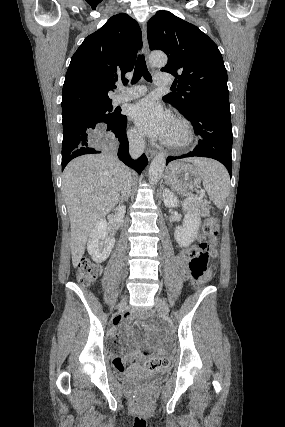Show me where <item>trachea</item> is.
I'll return each mask as SVG.
<instances>
[{
	"label": "trachea",
	"instance_id": "obj_1",
	"mask_svg": "<svg viewBox=\"0 0 285 427\" xmlns=\"http://www.w3.org/2000/svg\"><path fill=\"white\" fill-rule=\"evenodd\" d=\"M141 76H143L147 81H150V82L152 81V77L147 69L146 61L143 54L139 55L137 59L131 83L132 84L137 83L140 80Z\"/></svg>",
	"mask_w": 285,
	"mask_h": 427
}]
</instances>
